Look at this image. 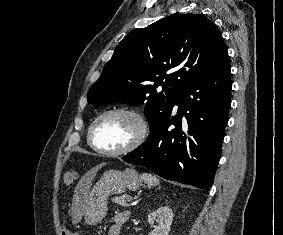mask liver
Segmentation results:
<instances>
[{"label":"liver","mask_w":283,"mask_h":235,"mask_svg":"<svg viewBox=\"0 0 283 235\" xmlns=\"http://www.w3.org/2000/svg\"><path fill=\"white\" fill-rule=\"evenodd\" d=\"M107 163H101L93 167L88 171L77 184L74 191V223L80 220L81 214V197L85 195L91 187L92 181L94 180L97 172L106 165Z\"/></svg>","instance_id":"6515ba94"}]
</instances>
